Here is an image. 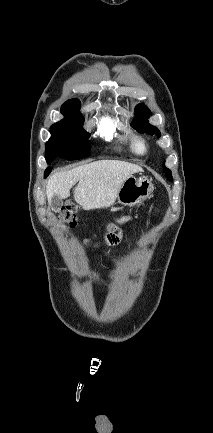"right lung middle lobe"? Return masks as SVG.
<instances>
[{
	"label": "right lung middle lobe",
	"instance_id": "right-lung-middle-lobe-1",
	"mask_svg": "<svg viewBox=\"0 0 213 433\" xmlns=\"http://www.w3.org/2000/svg\"><path fill=\"white\" fill-rule=\"evenodd\" d=\"M62 114L65 117L50 127L51 137L46 142L47 163L58 157L75 160L89 155L90 134L82 127L84 118L65 112Z\"/></svg>",
	"mask_w": 213,
	"mask_h": 433
}]
</instances>
